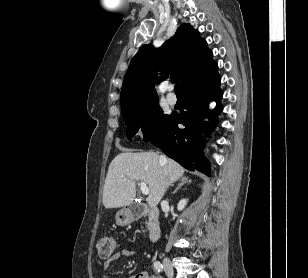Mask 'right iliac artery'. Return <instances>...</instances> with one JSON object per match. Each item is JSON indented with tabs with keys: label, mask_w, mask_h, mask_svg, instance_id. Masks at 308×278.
<instances>
[{
	"label": "right iliac artery",
	"mask_w": 308,
	"mask_h": 278,
	"mask_svg": "<svg viewBox=\"0 0 308 278\" xmlns=\"http://www.w3.org/2000/svg\"><path fill=\"white\" fill-rule=\"evenodd\" d=\"M154 268L158 271V272H162L163 270V265L159 262V261H156L154 263Z\"/></svg>",
	"instance_id": "right-iliac-artery-1"
}]
</instances>
